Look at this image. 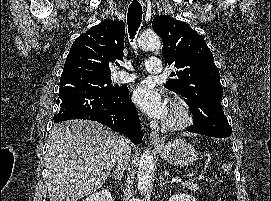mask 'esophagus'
Returning a JSON list of instances; mask_svg holds the SVG:
<instances>
[{
    "label": "esophagus",
    "mask_w": 271,
    "mask_h": 201,
    "mask_svg": "<svg viewBox=\"0 0 271 201\" xmlns=\"http://www.w3.org/2000/svg\"><path fill=\"white\" fill-rule=\"evenodd\" d=\"M143 1V0H139ZM150 143L154 146H160L163 144V140L161 138V135L157 133L156 131H153L150 133Z\"/></svg>",
    "instance_id": "obj_1"
}]
</instances>
